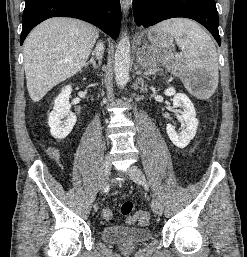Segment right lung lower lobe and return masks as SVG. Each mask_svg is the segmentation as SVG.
<instances>
[{
  "instance_id": "98d812e1",
  "label": "right lung lower lobe",
  "mask_w": 247,
  "mask_h": 257,
  "mask_svg": "<svg viewBox=\"0 0 247 257\" xmlns=\"http://www.w3.org/2000/svg\"><path fill=\"white\" fill-rule=\"evenodd\" d=\"M20 44L42 21L55 17L78 18L99 27L116 39L121 24L119 0H25Z\"/></svg>"
}]
</instances>
